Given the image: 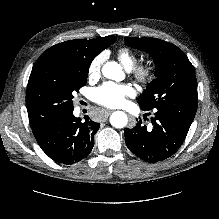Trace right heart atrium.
Listing matches in <instances>:
<instances>
[{"instance_id":"obj_1","label":"right heart atrium","mask_w":219,"mask_h":219,"mask_svg":"<svg viewBox=\"0 0 219 219\" xmlns=\"http://www.w3.org/2000/svg\"><path fill=\"white\" fill-rule=\"evenodd\" d=\"M103 63V56H97L89 66V76L97 77L100 74L101 66Z\"/></svg>"}]
</instances>
